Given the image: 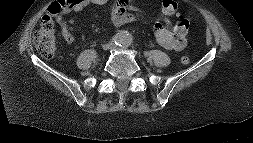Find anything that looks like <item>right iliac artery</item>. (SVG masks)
I'll list each match as a JSON object with an SVG mask.
<instances>
[{"label": "right iliac artery", "mask_w": 253, "mask_h": 143, "mask_svg": "<svg viewBox=\"0 0 253 143\" xmlns=\"http://www.w3.org/2000/svg\"><path fill=\"white\" fill-rule=\"evenodd\" d=\"M114 42L116 45H121L119 39H117V38L114 39Z\"/></svg>", "instance_id": "obj_1"}]
</instances>
